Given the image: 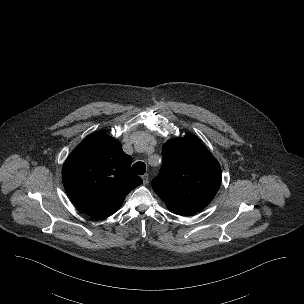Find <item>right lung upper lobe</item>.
Wrapping results in <instances>:
<instances>
[{
  "label": "right lung upper lobe",
  "instance_id": "obj_1",
  "mask_svg": "<svg viewBox=\"0 0 304 304\" xmlns=\"http://www.w3.org/2000/svg\"><path fill=\"white\" fill-rule=\"evenodd\" d=\"M131 163L132 158L116 139L96 132L68 156L62 170L63 184L82 211L98 219L106 218L142 183L130 172Z\"/></svg>",
  "mask_w": 304,
  "mask_h": 304
}]
</instances>
